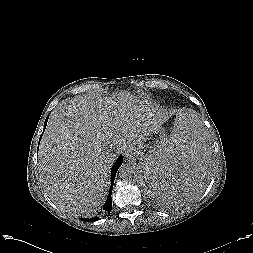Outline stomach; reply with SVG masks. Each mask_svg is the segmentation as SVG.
<instances>
[{
  "label": "stomach",
  "mask_w": 253,
  "mask_h": 253,
  "mask_svg": "<svg viewBox=\"0 0 253 253\" xmlns=\"http://www.w3.org/2000/svg\"><path fill=\"white\" fill-rule=\"evenodd\" d=\"M166 137L165 131L160 127L152 132H150L143 141L137 143V148H135L134 156L140 160L138 166V172L142 166L149 160H151L156 153L161 141ZM146 147H150V150L147 153H144L143 150ZM139 180V176H138ZM140 183V182H139Z\"/></svg>",
  "instance_id": "stomach-1"
}]
</instances>
